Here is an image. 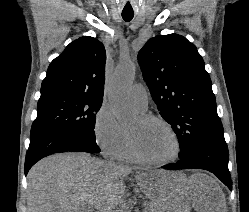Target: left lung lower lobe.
Returning a JSON list of instances; mask_svg holds the SVG:
<instances>
[{
  "label": "left lung lower lobe",
  "mask_w": 249,
  "mask_h": 212,
  "mask_svg": "<svg viewBox=\"0 0 249 212\" xmlns=\"http://www.w3.org/2000/svg\"><path fill=\"white\" fill-rule=\"evenodd\" d=\"M228 160L229 153L224 135H217L196 142L185 155L180 157L179 161L164 165L162 168L167 170H208L214 173L231 190Z\"/></svg>",
  "instance_id": "left-lung-lower-lobe-1"
}]
</instances>
